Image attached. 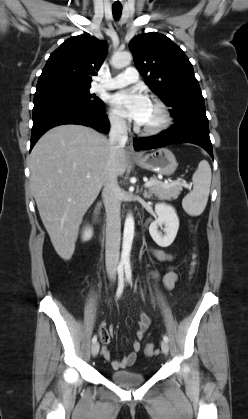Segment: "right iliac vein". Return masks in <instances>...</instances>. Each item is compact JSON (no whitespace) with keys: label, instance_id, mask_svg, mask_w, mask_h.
<instances>
[{"label":"right iliac vein","instance_id":"right-iliac-vein-1","mask_svg":"<svg viewBox=\"0 0 248 419\" xmlns=\"http://www.w3.org/2000/svg\"><path fill=\"white\" fill-rule=\"evenodd\" d=\"M100 345L98 342L93 343L91 347V353L95 357L99 353Z\"/></svg>","mask_w":248,"mask_h":419}]
</instances>
